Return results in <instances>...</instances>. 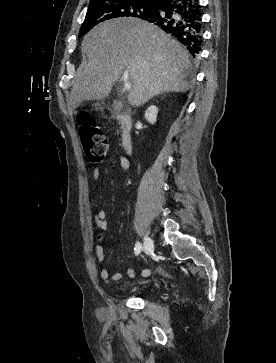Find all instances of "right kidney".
<instances>
[{
    "label": "right kidney",
    "instance_id": "ca27d5eb",
    "mask_svg": "<svg viewBox=\"0 0 276 363\" xmlns=\"http://www.w3.org/2000/svg\"><path fill=\"white\" fill-rule=\"evenodd\" d=\"M157 114H158V108L155 105H151L145 111V119L149 123L154 124L157 120Z\"/></svg>",
    "mask_w": 276,
    "mask_h": 363
}]
</instances>
